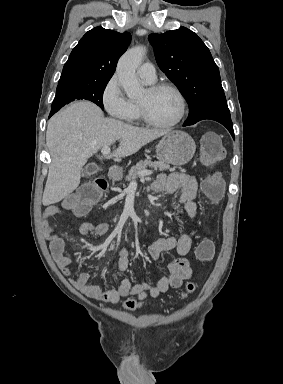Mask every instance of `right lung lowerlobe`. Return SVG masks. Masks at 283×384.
<instances>
[{"instance_id":"right-lung-lower-lobe-1","label":"right lung lower lobe","mask_w":283,"mask_h":384,"mask_svg":"<svg viewBox=\"0 0 283 384\" xmlns=\"http://www.w3.org/2000/svg\"><path fill=\"white\" fill-rule=\"evenodd\" d=\"M57 110H51L49 118L56 112Z\"/></svg>"}]
</instances>
